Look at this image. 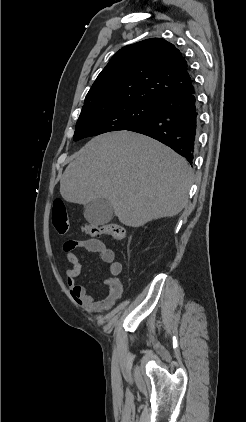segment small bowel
<instances>
[{"label": "small bowel", "instance_id": "c3829d8e", "mask_svg": "<svg viewBox=\"0 0 246 422\" xmlns=\"http://www.w3.org/2000/svg\"><path fill=\"white\" fill-rule=\"evenodd\" d=\"M76 248H83L96 253L104 263L108 264L112 277L106 280L107 292L103 297L90 295L86 288L77 282L81 273V263L75 254ZM65 256L70 266L64 271L72 298L90 311L101 312L110 309L122 296L123 285L118 278L122 272V264L116 260L115 253L104 242L98 239L68 240L63 245Z\"/></svg>", "mask_w": 246, "mask_h": 422}]
</instances>
